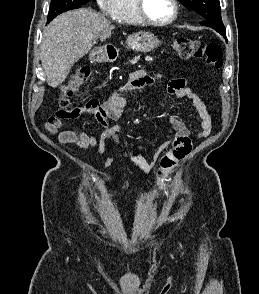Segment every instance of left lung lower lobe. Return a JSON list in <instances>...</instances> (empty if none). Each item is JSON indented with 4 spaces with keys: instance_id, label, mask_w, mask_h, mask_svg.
<instances>
[{
    "instance_id": "0a47b994",
    "label": "left lung lower lobe",
    "mask_w": 259,
    "mask_h": 294,
    "mask_svg": "<svg viewBox=\"0 0 259 294\" xmlns=\"http://www.w3.org/2000/svg\"><path fill=\"white\" fill-rule=\"evenodd\" d=\"M220 34H221V35L225 38V40L227 41L226 31H225V32H221Z\"/></svg>"
}]
</instances>
